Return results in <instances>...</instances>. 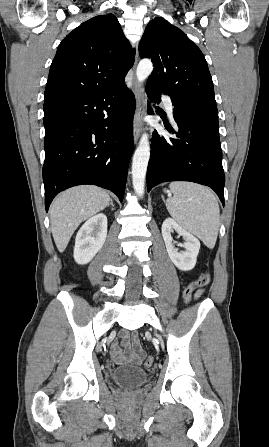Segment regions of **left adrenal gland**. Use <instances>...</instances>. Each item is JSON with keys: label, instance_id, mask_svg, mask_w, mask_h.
Instances as JSON below:
<instances>
[{"label": "left adrenal gland", "instance_id": "left-adrenal-gland-1", "mask_svg": "<svg viewBox=\"0 0 269 447\" xmlns=\"http://www.w3.org/2000/svg\"><path fill=\"white\" fill-rule=\"evenodd\" d=\"M161 198H162L163 202H165V200H164V196H161Z\"/></svg>", "mask_w": 269, "mask_h": 447}]
</instances>
